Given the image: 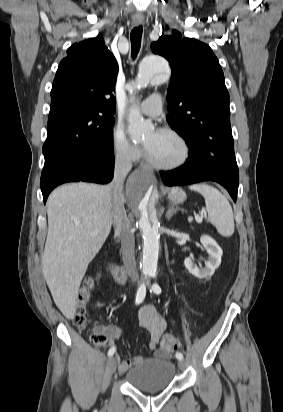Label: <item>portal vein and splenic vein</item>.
I'll use <instances>...</instances> for the list:
<instances>
[{
  "label": "portal vein and splenic vein",
  "instance_id": "obj_1",
  "mask_svg": "<svg viewBox=\"0 0 283 412\" xmlns=\"http://www.w3.org/2000/svg\"><path fill=\"white\" fill-rule=\"evenodd\" d=\"M195 220H196L197 223H202L203 218L199 215H195Z\"/></svg>",
  "mask_w": 283,
  "mask_h": 412
}]
</instances>
